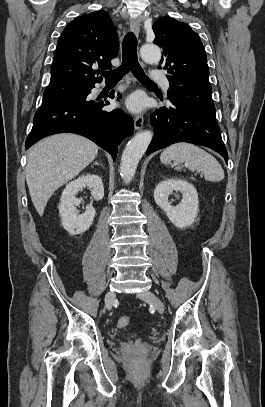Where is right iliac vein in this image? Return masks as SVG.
I'll use <instances>...</instances> for the list:
<instances>
[{
    "instance_id": "obj_1",
    "label": "right iliac vein",
    "mask_w": 265,
    "mask_h": 407,
    "mask_svg": "<svg viewBox=\"0 0 265 407\" xmlns=\"http://www.w3.org/2000/svg\"><path fill=\"white\" fill-rule=\"evenodd\" d=\"M115 297H116V295L112 291H109V292L106 293V295H105V305H106V308L108 310H111L113 302L115 300Z\"/></svg>"
}]
</instances>
